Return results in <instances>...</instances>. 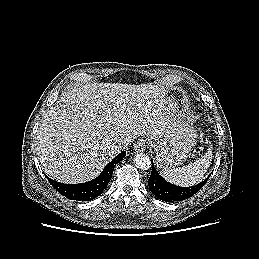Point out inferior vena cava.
<instances>
[{"label": "inferior vena cava", "instance_id": "inferior-vena-cava-1", "mask_svg": "<svg viewBox=\"0 0 259 259\" xmlns=\"http://www.w3.org/2000/svg\"><path fill=\"white\" fill-rule=\"evenodd\" d=\"M128 145H129V142H128V141H122V142L116 143V144L114 145V148H115V150H117V151L120 152L121 150H123L124 148H126Z\"/></svg>", "mask_w": 259, "mask_h": 259}]
</instances>
